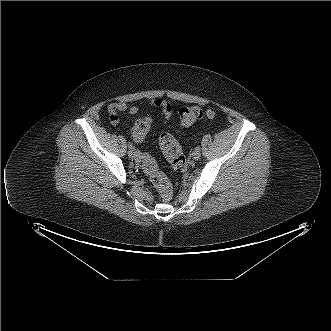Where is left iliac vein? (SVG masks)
<instances>
[{
  "label": "left iliac vein",
  "mask_w": 331,
  "mask_h": 331,
  "mask_svg": "<svg viewBox=\"0 0 331 331\" xmlns=\"http://www.w3.org/2000/svg\"><path fill=\"white\" fill-rule=\"evenodd\" d=\"M192 157H193L194 160H198V159L201 157V153H200V151L195 150V151L192 153Z\"/></svg>",
  "instance_id": "4c4485c4"
}]
</instances>
